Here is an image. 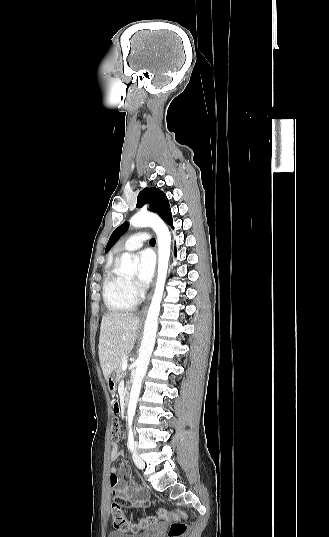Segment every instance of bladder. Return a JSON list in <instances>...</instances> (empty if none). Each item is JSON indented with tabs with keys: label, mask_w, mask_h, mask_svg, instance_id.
I'll return each mask as SVG.
<instances>
[{
	"label": "bladder",
	"mask_w": 329,
	"mask_h": 537,
	"mask_svg": "<svg viewBox=\"0 0 329 537\" xmlns=\"http://www.w3.org/2000/svg\"><path fill=\"white\" fill-rule=\"evenodd\" d=\"M157 532V528H153L150 531H146L143 533H125L120 531H111L107 537H154L155 533Z\"/></svg>",
	"instance_id": "bladder-1"
}]
</instances>
